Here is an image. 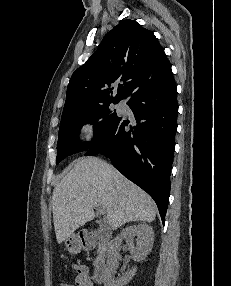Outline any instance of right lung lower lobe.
<instances>
[{
	"label": "right lung lower lobe",
	"instance_id": "obj_1",
	"mask_svg": "<svg viewBox=\"0 0 231 286\" xmlns=\"http://www.w3.org/2000/svg\"><path fill=\"white\" fill-rule=\"evenodd\" d=\"M177 87L172 70L161 78L133 85L124 98L136 126L122 117L90 148L86 155L103 154L125 177L156 202L162 222L170 195V173L177 130Z\"/></svg>",
	"mask_w": 231,
	"mask_h": 286
}]
</instances>
